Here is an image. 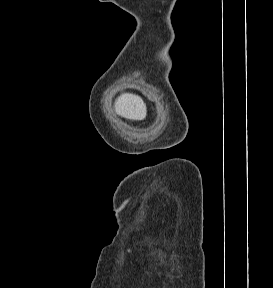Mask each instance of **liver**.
I'll use <instances>...</instances> for the list:
<instances>
[{"instance_id": "1", "label": "liver", "mask_w": 273, "mask_h": 288, "mask_svg": "<svg viewBox=\"0 0 273 288\" xmlns=\"http://www.w3.org/2000/svg\"><path fill=\"white\" fill-rule=\"evenodd\" d=\"M114 109L117 115L130 120H144L147 115L143 99L132 93H123L115 101Z\"/></svg>"}]
</instances>
